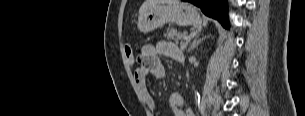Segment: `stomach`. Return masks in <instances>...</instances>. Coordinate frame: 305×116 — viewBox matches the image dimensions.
<instances>
[{
    "label": "stomach",
    "instance_id": "stomach-1",
    "mask_svg": "<svg viewBox=\"0 0 305 116\" xmlns=\"http://www.w3.org/2000/svg\"><path fill=\"white\" fill-rule=\"evenodd\" d=\"M201 22L197 10L188 3L178 2L156 4L149 7L138 19V29L148 33L164 26L175 23L179 26L196 25Z\"/></svg>",
    "mask_w": 305,
    "mask_h": 116
}]
</instances>
